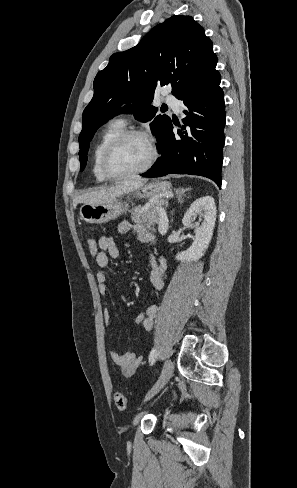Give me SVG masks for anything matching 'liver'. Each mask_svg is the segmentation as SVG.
<instances>
[{"label": "liver", "mask_w": 297, "mask_h": 488, "mask_svg": "<svg viewBox=\"0 0 297 488\" xmlns=\"http://www.w3.org/2000/svg\"><path fill=\"white\" fill-rule=\"evenodd\" d=\"M147 179L133 177L122 181L116 186L85 193L77 198V202L84 204H105L117 200L121 195L142 187Z\"/></svg>", "instance_id": "liver-1"}]
</instances>
